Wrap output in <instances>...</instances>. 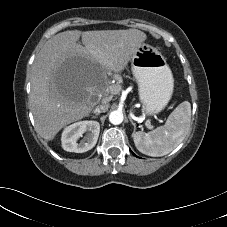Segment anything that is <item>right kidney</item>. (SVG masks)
Wrapping results in <instances>:
<instances>
[{"mask_svg":"<svg viewBox=\"0 0 227 227\" xmlns=\"http://www.w3.org/2000/svg\"><path fill=\"white\" fill-rule=\"evenodd\" d=\"M86 133L81 141H78ZM100 124L97 121H80L66 127L62 133V147L68 152L83 153L92 149L98 140Z\"/></svg>","mask_w":227,"mask_h":227,"instance_id":"1","label":"right kidney"}]
</instances>
